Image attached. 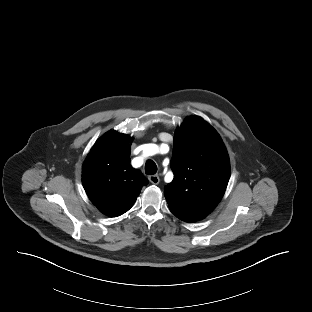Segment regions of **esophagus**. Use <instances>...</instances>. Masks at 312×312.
<instances>
[{
	"label": "esophagus",
	"mask_w": 312,
	"mask_h": 312,
	"mask_svg": "<svg viewBox=\"0 0 312 312\" xmlns=\"http://www.w3.org/2000/svg\"><path fill=\"white\" fill-rule=\"evenodd\" d=\"M149 181L152 183V184H158L160 179H159V176L158 175H150L148 177Z\"/></svg>",
	"instance_id": "1"
}]
</instances>
